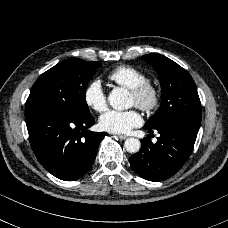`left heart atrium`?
Returning a JSON list of instances; mask_svg holds the SVG:
<instances>
[{"label": "left heart atrium", "instance_id": "left-heart-atrium-1", "mask_svg": "<svg viewBox=\"0 0 228 228\" xmlns=\"http://www.w3.org/2000/svg\"><path fill=\"white\" fill-rule=\"evenodd\" d=\"M142 123L140 114L132 110H109L101 115L100 127L110 133L123 134Z\"/></svg>", "mask_w": 228, "mask_h": 228}]
</instances>
